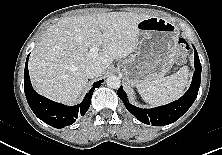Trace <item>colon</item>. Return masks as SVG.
Listing matches in <instances>:
<instances>
[{
    "mask_svg": "<svg viewBox=\"0 0 222 155\" xmlns=\"http://www.w3.org/2000/svg\"><path fill=\"white\" fill-rule=\"evenodd\" d=\"M188 50V43L185 39L179 38L177 41V54L179 57H183Z\"/></svg>",
    "mask_w": 222,
    "mask_h": 155,
    "instance_id": "5ec220e1",
    "label": "colon"
}]
</instances>
